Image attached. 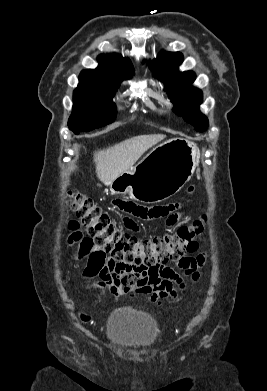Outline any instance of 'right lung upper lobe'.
I'll return each instance as SVG.
<instances>
[{
  "mask_svg": "<svg viewBox=\"0 0 267 391\" xmlns=\"http://www.w3.org/2000/svg\"><path fill=\"white\" fill-rule=\"evenodd\" d=\"M97 69L83 70L79 85L114 94L123 79L130 78L134 69L131 62L119 55H100Z\"/></svg>",
  "mask_w": 267,
  "mask_h": 391,
  "instance_id": "1",
  "label": "right lung upper lobe"
}]
</instances>
